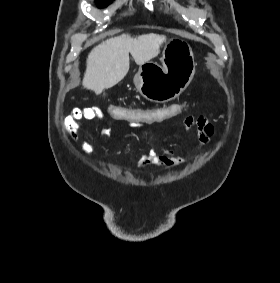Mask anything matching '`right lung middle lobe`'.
<instances>
[{
    "mask_svg": "<svg viewBox=\"0 0 280 283\" xmlns=\"http://www.w3.org/2000/svg\"><path fill=\"white\" fill-rule=\"evenodd\" d=\"M111 2L112 0H96V3L98 4L99 7H105Z\"/></svg>",
    "mask_w": 280,
    "mask_h": 283,
    "instance_id": "obj_1",
    "label": "right lung middle lobe"
}]
</instances>
